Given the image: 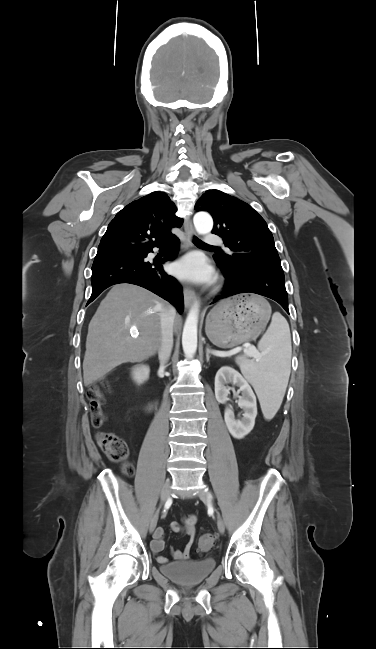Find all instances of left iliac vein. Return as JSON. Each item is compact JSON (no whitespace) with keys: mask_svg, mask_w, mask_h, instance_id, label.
Returning a JSON list of instances; mask_svg holds the SVG:
<instances>
[{"mask_svg":"<svg viewBox=\"0 0 376 649\" xmlns=\"http://www.w3.org/2000/svg\"><path fill=\"white\" fill-rule=\"evenodd\" d=\"M199 498L202 501H204V502H206V503H208L210 505H213L212 496L208 492H204V491L200 492L199 493ZM217 526H218L219 532L221 534H223L224 531H225V525H224V521H223L221 515L218 512H217Z\"/></svg>","mask_w":376,"mask_h":649,"instance_id":"obj_1","label":"left iliac vein"}]
</instances>
